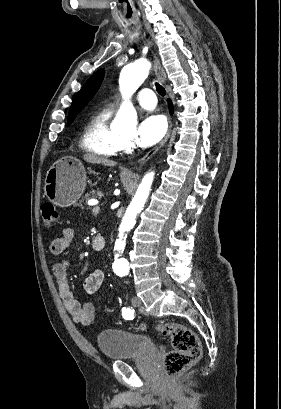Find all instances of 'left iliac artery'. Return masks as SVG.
I'll list each match as a JSON object with an SVG mask.
<instances>
[{
	"instance_id": "1",
	"label": "left iliac artery",
	"mask_w": 281,
	"mask_h": 409,
	"mask_svg": "<svg viewBox=\"0 0 281 409\" xmlns=\"http://www.w3.org/2000/svg\"><path fill=\"white\" fill-rule=\"evenodd\" d=\"M122 316L127 320H132L134 316V310L124 307L122 308Z\"/></svg>"
}]
</instances>
